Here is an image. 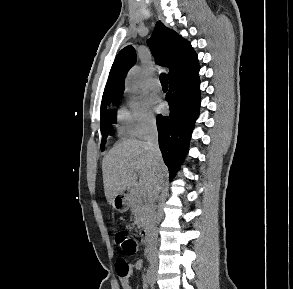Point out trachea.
<instances>
[{"label": "trachea", "mask_w": 293, "mask_h": 289, "mask_svg": "<svg viewBox=\"0 0 293 289\" xmlns=\"http://www.w3.org/2000/svg\"><path fill=\"white\" fill-rule=\"evenodd\" d=\"M160 82H161L162 86L168 87V76L166 73H161Z\"/></svg>", "instance_id": "obj_1"}]
</instances>
